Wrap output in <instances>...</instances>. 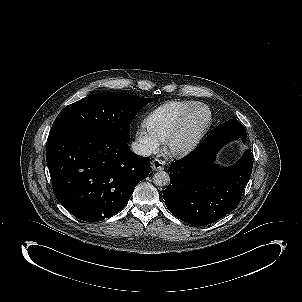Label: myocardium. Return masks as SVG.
<instances>
[{
    "instance_id": "myocardium-1",
    "label": "myocardium",
    "mask_w": 302,
    "mask_h": 302,
    "mask_svg": "<svg viewBox=\"0 0 302 302\" xmlns=\"http://www.w3.org/2000/svg\"><path fill=\"white\" fill-rule=\"evenodd\" d=\"M199 110H204L207 113V118L201 129L195 134V136L189 140L186 144L175 147L172 145V140L176 133L179 131L185 120L190 117L192 114ZM212 122V113L210 108L205 104H196L194 107H192L190 110L185 112L176 122V124L172 127V129L169 131L165 138V150L166 152L174 157L183 156L187 153H189L191 150H193L197 144L201 141V139L206 134L208 128L210 127Z\"/></svg>"
}]
</instances>
